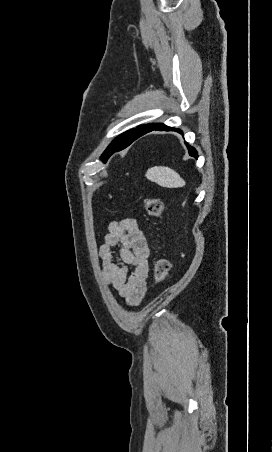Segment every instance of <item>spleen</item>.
I'll list each match as a JSON object with an SVG mask.
<instances>
[{
    "label": "spleen",
    "instance_id": "obj_1",
    "mask_svg": "<svg viewBox=\"0 0 272 452\" xmlns=\"http://www.w3.org/2000/svg\"><path fill=\"white\" fill-rule=\"evenodd\" d=\"M146 178L167 188H179L185 185V181L177 172L165 166H155L148 169Z\"/></svg>",
    "mask_w": 272,
    "mask_h": 452
}]
</instances>
